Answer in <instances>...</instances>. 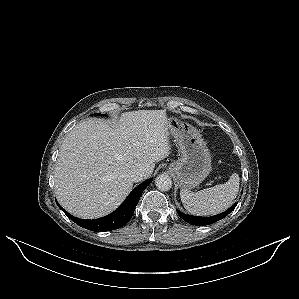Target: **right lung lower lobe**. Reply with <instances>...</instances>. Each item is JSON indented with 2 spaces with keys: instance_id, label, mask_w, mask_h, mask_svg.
Wrapping results in <instances>:
<instances>
[{
  "instance_id": "1",
  "label": "right lung lower lobe",
  "mask_w": 299,
  "mask_h": 299,
  "mask_svg": "<svg viewBox=\"0 0 299 299\" xmlns=\"http://www.w3.org/2000/svg\"><path fill=\"white\" fill-rule=\"evenodd\" d=\"M152 178L138 185L121 204V206L108 216L94 219L84 220L70 215L56 201L59 208L79 226L95 232H103L118 229L124 226L132 217L135 207L140 199L142 192L152 182Z\"/></svg>"
}]
</instances>
